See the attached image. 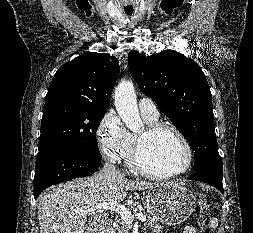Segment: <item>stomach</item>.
<instances>
[{"label":"stomach","instance_id":"1","mask_svg":"<svg viewBox=\"0 0 253 233\" xmlns=\"http://www.w3.org/2000/svg\"><path fill=\"white\" fill-rule=\"evenodd\" d=\"M195 206L193 193L179 183L150 188L146 195L148 212L167 226L184 222L193 213Z\"/></svg>","mask_w":253,"mask_h":233}]
</instances>
